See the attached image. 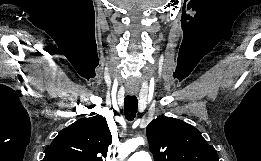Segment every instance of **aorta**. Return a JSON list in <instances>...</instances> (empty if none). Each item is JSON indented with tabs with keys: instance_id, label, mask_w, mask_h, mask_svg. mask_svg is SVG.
I'll return each mask as SVG.
<instances>
[{
	"instance_id": "aorta-1",
	"label": "aorta",
	"mask_w": 261,
	"mask_h": 161,
	"mask_svg": "<svg viewBox=\"0 0 261 161\" xmlns=\"http://www.w3.org/2000/svg\"><path fill=\"white\" fill-rule=\"evenodd\" d=\"M144 144L142 137H137L126 141L118 147V154L121 160H124L131 152H134L139 145Z\"/></svg>"
}]
</instances>
